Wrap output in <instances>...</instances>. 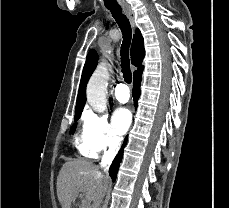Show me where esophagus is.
<instances>
[{"label": "esophagus", "instance_id": "1", "mask_svg": "<svg viewBox=\"0 0 229 208\" xmlns=\"http://www.w3.org/2000/svg\"><path fill=\"white\" fill-rule=\"evenodd\" d=\"M123 11H124L126 17L128 18L131 26L134 27L135 26V23H134V13L131 10V8L128 7V6H126V7L123 8Z\"/></svg>", "mask_w": 229, "mask_h": 208}]
</instances>
